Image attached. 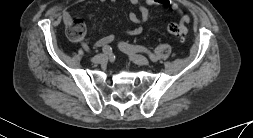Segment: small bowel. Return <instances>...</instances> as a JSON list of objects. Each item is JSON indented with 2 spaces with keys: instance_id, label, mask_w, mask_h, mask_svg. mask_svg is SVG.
Returning <instances> with one entry per match:
<instances>
[{
  "instance_id": "1",
  "label": "small bowel",
  "mask_w": 253,
  "mask_h": 138,
  "mask_svg": "<svg viewBox=\"0 0 253 138\" xmlns=\"http://www.w3.org/2000/svg\"><path fill=\"white\" fill-rule=\"evenodd\" d=\"M80 1H88V0H80ZM100 2H106L108 0H99ZM111 2H115L116 0H109ZM133 5H135L139 10V15L135 12H129L128 18L135 25L131 28H124L120 30V33L126 36H136L143 32V26L146 21H148L150 17V12L148 7H170L174 12L181 15V22L188 23L190 21V17L184 15L179 3L174 2L172 0H129ZM72 19V15L69 11H65L63 13V20L67 23ZM115 36L113 34H108L95 42L97 47L107 46L114 40Z\"/></svg>"
}]
</instances>
